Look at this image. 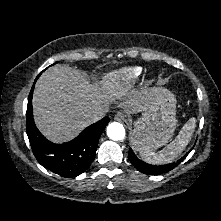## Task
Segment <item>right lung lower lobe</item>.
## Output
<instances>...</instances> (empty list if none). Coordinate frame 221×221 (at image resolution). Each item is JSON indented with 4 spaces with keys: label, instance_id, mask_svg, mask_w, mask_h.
Instances as JSON below:
<instances>
[{
    "label": "right lung lower lobe",
    "instance_id": "98d812e1",
    "mask_svg": "<svg viewBox=\"0 0 221 221\" xmlns=\"http://www.w3.org/2000/svg\"><path fill=\"white\" fill-rule=\"evenodd\" d=\"M33 89L34 85L28 98L26 131L35 158L43 167L60 176L71 178L80 175L94 160L99 138L109 123V118L104 117L90 125L70 142L54 144L35 126L32 115Z\"/></svg>",
    "mask_w": 221,
    "mask_h": 221
}]
</instances>
